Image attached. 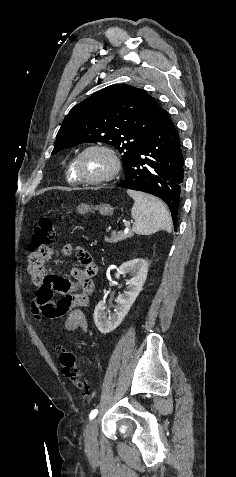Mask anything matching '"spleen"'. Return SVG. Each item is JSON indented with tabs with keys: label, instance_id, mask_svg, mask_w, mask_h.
Returning <instances> with one entry per match:
<instances>
[{
	"label": "spleen",
	"instance_id": "obj_1",
	"mask_svg": "<svg viewBox=\"0 0 236 477\" xmlns=\"http://www.w3.org/2000/svg\"><path fill=\"white\" fill-rule=\"evenodd\" d=\"M134 200L131 210L133 231L138 235H150L159 230L171 232L172 222L163 203L149 194L127 190Z\"/></svg>",
	"mask_w": 236,
	"mask_h": 477
}]
</instances>
